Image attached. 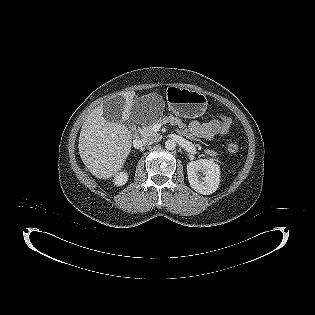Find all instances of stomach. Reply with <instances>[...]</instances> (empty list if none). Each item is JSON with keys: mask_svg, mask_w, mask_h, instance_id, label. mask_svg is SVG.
<instances>
[{"mask_svg": "<svg viewBox=\"0 0 315 315\" xmlns=\"http://www.w3.org/2000/svg\"><path fill=\"white\" fill-rule=\"evenodd\" d=\"M168 108L176 115L184 118L202 116L208 105L205 94L191 90L170 86L166 91Z\"/></svg>", "mask_w": 315, "mask_h": 315, "instance_id": "stomach-1", "label": "stomach"}]
</instances>
